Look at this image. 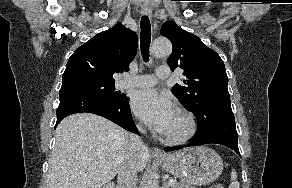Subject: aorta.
<instances>
[{"instance_id":"obj_1","label":"aorta","mask_w":292,"mask_h":188,"mask_svg":"<svg viewBox=\"0 0 292 188\" xmlns=\"http://www.w3.org/2000/svg\"><path fill=\"white\" fill-rule=\"evenodd\" d=\"M151 52L155 57L168 56L172 52V44L168 39L158 38L152 43ZM145 188H159L158 178L155 174L148 176Z\"/></svg>"}]
</instances>
